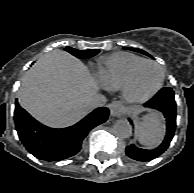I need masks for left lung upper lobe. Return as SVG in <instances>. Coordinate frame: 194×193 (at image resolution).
I'll return each instance as SVG.
<instances>
[{
    "label": "left lung upper lobe",
    "instance_id": "obj_1",
    "mask_svg": "<svg viewBox=\"0 0 194 193\" xmlns=\"http://www.w3.org/2000/svg\"><path fill=\"white\" fill-rule=\"evenodd\" d=\"M127 49L132 50V51H137V52H140V53L145 54L147 56H150L148 53H146L145 51L140 50V49H136V48H127Z\"/></svg>",
    "mask_w": 194,
    "mask_h": 193
}]
</instances>
